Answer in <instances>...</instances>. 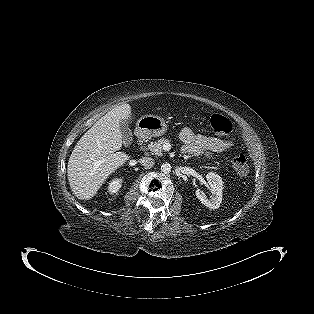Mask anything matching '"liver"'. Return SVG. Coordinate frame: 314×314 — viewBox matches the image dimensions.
I'll use <instances>...</instances> for the list:
<instances>
[{"label": "liver", "mask_w": 314, "mask_h": 314, "mask_svg": "<svg viewBox=\"0 0 314 314\" xmlns=\"http://www.w3.org/2000/svg\"><path fill=\"white\" fill-rule=\"evenodd\" d=\"M131 115V106L123 103L96 121L77 142L67 173L71 190L78 199L94 197L106 179L130 159L119 150L123 138L120 125L127 123Z\"/></svg>", "instance_id": "6515ba94"}]
</instances>
